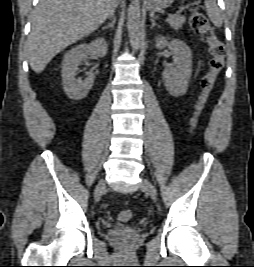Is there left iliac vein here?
<instances>
[{"label":"left iliac vein","instance_id":"1","mask_svg":"<svg viewBox=\"0 0 254 267\" xmlns=\"http://www.w3.org/2000/svg\"><path fill=\"white\" fill-rule=\"evenodd\" d=\"M141 187L149 193V195L151 196V198L154 201H156L157 191H156V188L154 187V185L149 180L143 179L141 182Z\"/></svg>","mask_w":254,"mask_h":267}]
</instances>
